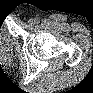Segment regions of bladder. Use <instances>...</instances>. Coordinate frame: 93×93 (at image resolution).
Returning a JSON list of instances; mask_svg holds the SVG:
<instances>
[{
  "label": "bladder",
  "mask_w": 93,
  "mask_h": 93,
  "mask_svg": "<svg viewBox=\"0 0 93 93\" xmlns=\"http://www.w3.org/2000/svg\"><path fill=\"white\" fill-rule=\"evenodd\" d=\"M1 46H8L12 44V38L7 32H2L1 33Z\"/></svg>",
  "instance_id": "31cf9c89"
}]
</instances>
